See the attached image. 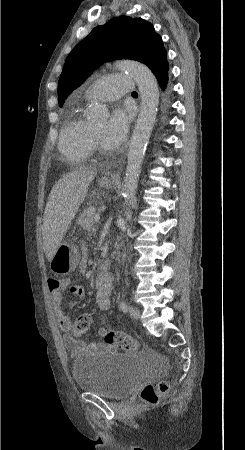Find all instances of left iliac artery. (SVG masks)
Here are the masks:
<instances>
[{
    "label": "left iliac artery",
    "instance_id": "1",
    "mask_svg": "<svg viewBox=\"0 0 245 450\" xmlns=\"http://www.w3.org/2000/svg\"><path fill=\"white\" fill-rule=\"evenodd\" d=\"M120 308L122 311L127 312L128 311V306L125 302H121L120 303Z\"/></svg>",
    "mask_w": 245,
    "mask_h": 450
}]
</instances>
